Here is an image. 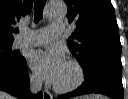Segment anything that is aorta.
<instances>
[{
	"label": "aorta",
	"instance_id": "obj_1",
	"mask_svg": "<svg viewBox=\"0 0 128 99\" xmlns=\"http://www.w3.org/2000/svg\"><path fill=\"white\" fill-rule=\"evenodd\" d=\"M67 14V6L63 0H52L47 9L50 18H63Z\"/></svg>",
	"mask_w": 128,
	"mask_h": 99
}]
</instances>
